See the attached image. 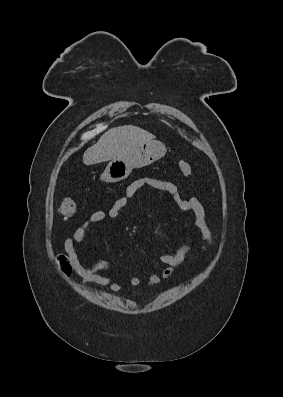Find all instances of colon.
<instances>
[{"mask_svg": "<svg viewBox=\"0 0 283 397\" xmlns=\"http://www.w3.org/2000/svg\"><path fill=\"white\" fill-rule=\"evenodd\" d=\"M178 169L180 173L184 176H190L192 174V167L186 161H180L178 163ZM75 212H76V204L70 197H66L60 202L58 206V213L61 216L68 218L73 216ZM60 262H61L62 270L65 273H70L71 266L64 256L60 257Z\"/></svg>", "mask_w": 283, "mask_h": 397, "instance_id": "1", "label": "colon"}]
</instances>
